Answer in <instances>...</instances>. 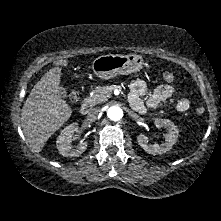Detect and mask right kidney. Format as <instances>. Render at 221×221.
Masks as SVG:
<instances>
[{
    "label": "right kidney",
    "instance_id": "ca27d5eb",
    "mask_svg": "<svg viewBox=\"0 0 221 221\" xmlns=\"http://www.w3.org/2000/svg\"><path fill=\"white\" fill-rule=\"evenodd\" d=\"M78 131V124L72 123L65 127L59 137L57 138L56 145L61 155L66 157L79 156L87 149V141H80L77 146L71 145V138L75 132Z\"/></svg>",
    "mask_w": 221,
    "mask_h": 221
}]
</instances>
